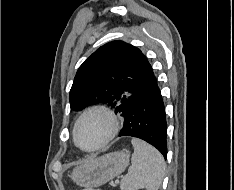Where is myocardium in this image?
Masks as SVG:
<instances>
[{
  "label": "myocardium",
  "instance_id": "1",
  "mask_svg": "<svg viewBox=\"0 0 234 190\" xmlns=\"http://www.w3.org/2000/svg\"><path fill=\"white\" fill-rule=\"evenodd\" d=\"M100 115L103 116L108 122V132L105 138L95 146L90 148L83 147L78 140V131L82 122L89 116ZM119 130V121L115 113L108 107L103 105H94L87 108L83 113L78 117L73 128V139L75 144L85 152H94L104 146H106L117 134Z\"/></svg>",
  "mask_w": 234,
  "mask_h": 190
}]
</instances>
